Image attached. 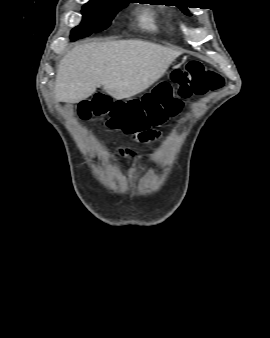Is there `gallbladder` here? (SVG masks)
<instances>
[{
  "label": "gallbladder",
  "instance_id": "bac80fb5",
  "mask_svg": "<svg viewBox=\"0 0 270 338\" xmlns=\"http://www.w3.org/2000/svg\"><path fill=\"white\" fill-rule=\"evenodd\" d=\"M65 106H66V108H67L68 110H70V111L73 109V106H72L71 104H66Z\"/></svg>",
  "mask_w": 270,
  "mask_h": 338
}]
</instances>
